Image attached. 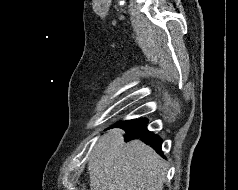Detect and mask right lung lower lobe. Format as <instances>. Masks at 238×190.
<instances>
[{
    "mask_svg": "<svg viewBox=\"0 0 238 190\" xmlns=\"http://www.w3.org/2000/svg\"><path fill=\"white\" fill-rule=\"evenodd\" d=\"M147 123V119L141 118L125 122L118 125L117 127L122 128L126 132V142L132 139H140L147 145H150L152 148H154L157 153L163 156L161 149L162 139L159 136L148 131Z\"/></svg>",
    "mask_w": 238,
    "mask_h": 190,
    "instance_id": "98d812e1",
    "label": "right lung lower lobe"
}]
</instances>
